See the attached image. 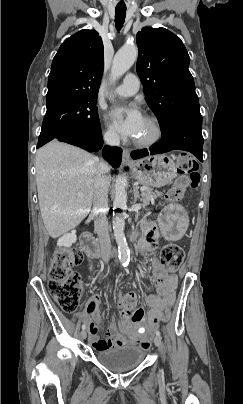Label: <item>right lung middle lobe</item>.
I'll list each match as a JSON object with an SVG mask.
<instances>
[{"label": "right lung middle lobe", "mask_w": 243, "mask_h": 404, "mask_svg": "<svg viewBox=\"0 0 243 404\" xmlns=\"http://www.w3.org/2000/svg\"><path fill=\"white\" fill-rule=\"evenodd\" d=\"M96 99H65L47 104L37 148L53 140L58 133L67 128L101 131Z\"/></svg>", "instance_id": "right-lung-middle-lobe-1"}]
</instances>
